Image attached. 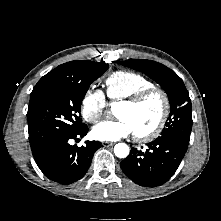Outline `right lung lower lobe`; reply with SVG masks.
I'll return each mask as SVG.
<instances>
[{
  "label": "right lung lower lobe",
  "mask_w": 221,
  "mask_h": 221,
  "mask_svg": "<svg viewBox=\"0 0 221 221\" xmlns=\"http://www.w3.org/2000/svg\"><path fill=\"white\" fill-rule=\"evenodd\" d=\"M88 132L85 124L77 131L54 137L32 150L42 173L55 182L70 184L81 179L90 167L92 156L103 145L98 141H85L86 145H70V139L83 138Z\"/></svg>",
  "instance_id": "obj_1"
}]
</instances>
